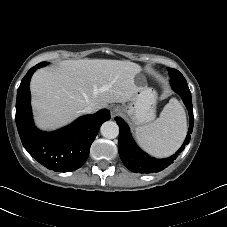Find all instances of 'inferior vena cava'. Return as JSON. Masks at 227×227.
<instances>
[{"label": "inferior vena cava", "instance_id": "1", "mask_svg": "<svg viewBox=\"0 0 227 227\" xmlns=\"http://www.w3.org/2000/svg\"><path fill=\"white\" fill-rule=\"evenodd\" d=\"M95 111H96L95 108L91 105H88L83 109V113H86V114H90V113H93Z\"/></svg>", "mask_w": 227, "mask_h": 227}]
</instances>
